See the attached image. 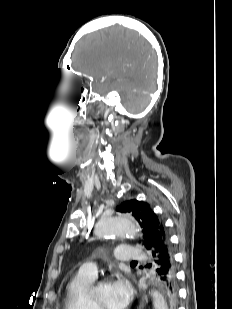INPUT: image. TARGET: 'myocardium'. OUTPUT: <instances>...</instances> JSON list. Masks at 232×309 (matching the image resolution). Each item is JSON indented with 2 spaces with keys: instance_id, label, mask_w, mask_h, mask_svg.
Here are the masks:
<instances>
[{
  "instance_id": "obj_1",
  "label": "myocardium",
  "mask_w": 232,
  "mask_h": 309,
  "mask_svg": "<svg viewBox=\"0 0 232 309\" xmlns=\"http://www.w3.org/2000/svg\"><path fill=\"white\" fill-rule=\"evenodd\" d=\"M110 283V279L108 277H104L100 284H107ZM91 300H92V304L94 306V309H105V307H103L100 302L97 300L94 292H91Z\"/></svg>"
}]
</instances>
